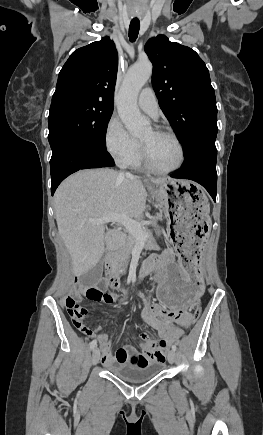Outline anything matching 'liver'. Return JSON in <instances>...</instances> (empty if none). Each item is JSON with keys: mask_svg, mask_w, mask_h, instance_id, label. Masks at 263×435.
<instances>
[{"mask_svg": "<svg viewBox=\"0 0 263 435\" xmlns=\"http://www.w3.org/2000/svg\"><path fill=\"white\" fill-rule=\"evenodd\" d=\"M169 180L152 178L150 182L160 185ZM146 198L140 178L107 168L81 170L60 184L54 195L55 217L75 276L88 273L106 250H117L125 241L121 232L89 220L114 214L141 217Z\"/></svg>", "mask_w": 263, "mask_h": 435, "instance_id": "6515ba94", "label": "liver"}]
</instances>
